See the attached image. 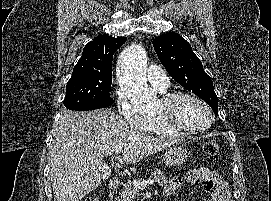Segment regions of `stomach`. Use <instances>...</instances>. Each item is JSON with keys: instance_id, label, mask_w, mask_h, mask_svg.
Returning <instances> with one entry per match:
<instances>
[{"instance_id": "1", "label": "stomach", "mask_w": 271, "mask_h": 201, "mask_svg": "<svg viewBox=\"0 0 271 201\" xmlns=\"http://www.w3.org/2000/svg\"><path fill=\"white\" fill-rule=\"evenodd\" d=\"M190 156V153L183 146H173L163 154V161L166 166L176 167L185 163Z\"/></svg>"}]
</instances>
